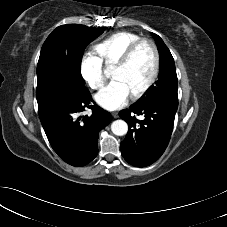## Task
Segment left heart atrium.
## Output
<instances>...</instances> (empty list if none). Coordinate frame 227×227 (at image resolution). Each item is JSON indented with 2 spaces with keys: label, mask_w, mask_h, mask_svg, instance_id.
<instances>
[{
  "label": "left heart atrium",
  "mask_w": 227,
  "mask_h": 227,
  "mask_svg": "<svg viewBox=\"0 0 227 227\" xmlns=\"http://www.w3.org/2000/svg\"><path fill=\"white\" fill-rule=\"evenodd\" d=\"M130 92L126 86L117 79H113L99 93L96 94V102L107 110H117L128 102Z\"/></svg>",
  "instance_id": "obj_1"
}]
</instances>
